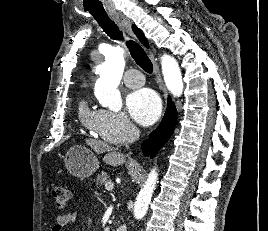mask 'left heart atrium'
<instances>
[{
	"label": "left heart atrium",
	"instance_id": "left-heart-atrium-1",
	"mask_svg": "<svg viewBox=\"0 0 268 231\" xmlns=\"http://www.w3.org/2000/svg\"><path fill=\"white\" fill-rule=\"evenodd\" d=\"M126 108L131 118L144 126L152 125L161 115L160 99L148 88L131 92L126 98Z\"/></svg>",
	"mask_w": 268,
	"mask_h": 231
}]
</instances>
